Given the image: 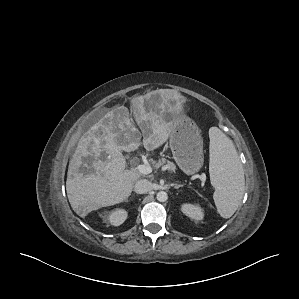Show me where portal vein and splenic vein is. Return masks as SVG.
<instances>
[{
	"mask_svg": "<svg viewBox=\"0 0 299 299\" xmlns=\"http://www.w3.org/2000/svg\"><path fill=\"white\" fill-rule=\"evenodd\" d=\"M136 169L142 174H150L152 172V167L145 164L138 165ZM201 178L205 179V175H202Z\"/></svg>",
	"mask_w": 299,
	"mask_h": 299,
	"instance_id": "1",
	"label": "portal vein and splenic vein"
}]
</instances>
